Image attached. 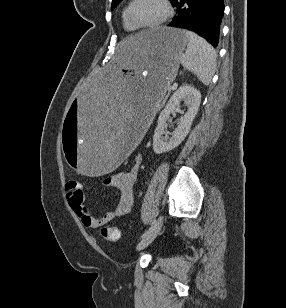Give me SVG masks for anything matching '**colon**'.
<instances>
[{"label": "colon", "mask_w": 286, "mask_h": 308, "mask_svg": "<svg viewBox=\"0 0 286 308\" xmlns=\"http://www.w3.org/2000/svg\"><path fill=\"white\" fill-rule=\"evenodd\" d=\"M81 183L77 180H70L66 184L67 190H75L78 191ZM102 237L107 241H117L119 239L120 233L118 228L113 226H105L101 229Z\"/></svg>", "instance_id": "colon-1"}]
</instances>
